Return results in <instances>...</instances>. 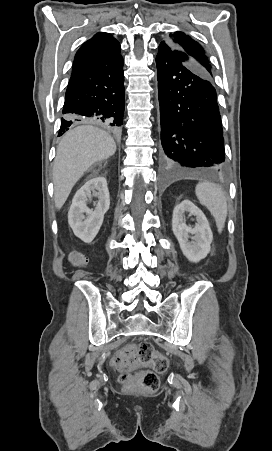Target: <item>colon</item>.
Returning a JSON list of instances; mask_svg holds the SVG:
<instances>
[{
  "label": "colon",
  "instance_id": "obj_1",
  "mask_svg": "<svg viewBox=\"0 0 272 451\" xmlns=\"http://www.w3.org/2000/svg\"><path fill=\"white\" fill-rule=\"evenodd\" d=\"M71 260H80L82 253L80 251H71L69 253ZM77 271L84 269L82 262L75 264ZM140 365L153 366V370H137ZM114 366L123 374L121 383L123 385H136L143 387L147 391L153 392L159 388L160 381L157 373H162L166 370V359L156 353L152 349L150 342H142L140 345L134 347L126 354L117 357Z\"/></svg>",
  "mask_w": 272,
  "mask_h": 451
}]
</instances>
